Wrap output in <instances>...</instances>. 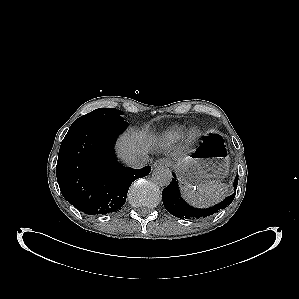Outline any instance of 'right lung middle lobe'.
I'll use <instances>...</instances> for the list:
<instances>
[{"mask_svg":"<svg viewBox=\"0 0 299 299\" xmlns=\"http://www.w3.org/2000/svg\"><path fill=\"white\" fill-rule=\"evenodd\" d=\"M122 112L115 108H99L79 117L71 127L78 125L102 124L123 121Z\"/></svg>","mask_w":299,"mask_h":299,"instance_id":"right-lung-middle-lobe-1","label":"right lung middle lobe"}]
</instances>
